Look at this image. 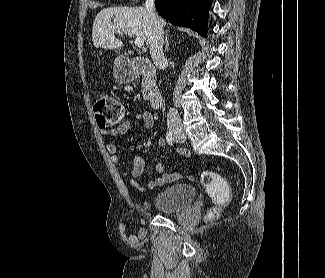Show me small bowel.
Segmentation results:
<instances>
[{"label": "small bowel", "instance_id": "obj_1", "mask_svg": "<svg viewBox=\"0 0 325 278\" xmlns=\"http://www.w3.org/2000/svg\"><path fill=\"white\" fill-rule=\"evenodd\" d=\"M135 121L144 124V126L147 129H152L154 127V118L152 114L148 111H142L137 113L135 115ZM130 129H131V122L124 121L116 128L102 129L101 134L104 136H122L127 134L130 131ZM166 141L167 140H165L164 138H160L158 140V145L164 147L166 145ZM106 149L109 155L111 156V161L114 164H120L121 157L118 154L117 145L115 143H108ZM176 153L184 157H189L190 155L189 151L183 148L176 149ZM143 169H144V160L140 155L136 154L133 159V168L131 172L132 178L130 179V184L134 189L140 192L150 191L157 187H161L166 183L175 182L182 178V176L178 173H173V174L163 173V166L162 164L159 163L156 165V170L158 173H160V175L155 179L149 181L147 185H143L138 180V177L142 174Z\"/></svg>", "mask_w": 325, "mask_h": 278}]
</instances>
